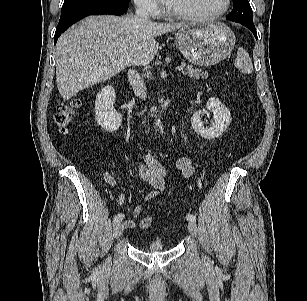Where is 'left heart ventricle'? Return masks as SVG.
<instances>
[{
  "instance_id": "left-heart-ventricle-1",
  "label": "left heart ventricle",
  "mask_w": 307,
  "mask_h": 301,
  "mask_svg": "<svg viewBox=\"0 0 307 301\" xmlns=\"http://www.w3.org/2000/svg\"><path fill=\"white\" fill-rule=\"evenodd\" d=\"M225 0H169L168 6L188 14H208L220 10Z\"/></svg>"
}]
</instances>
